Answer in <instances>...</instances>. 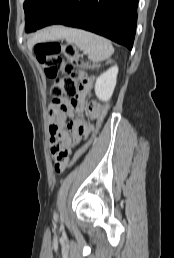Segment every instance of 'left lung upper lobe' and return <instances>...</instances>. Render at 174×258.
I'll return each mask as SVG.
<instances>
[{"mask_svg":"<svg viewBox=\"0 0 174 258\" xmlns=\"http://www.w3.org/2000/svg\"><path fill=\"white\" fill-rule=\"evenodd\" d=\"M61 0H25V31H36Z\"/></svg>","mask_w":174,"mask_h":258,"instance_id":"left-lung-upper-lobe-1","label":"left lung upper lobe"}]
</instances>
